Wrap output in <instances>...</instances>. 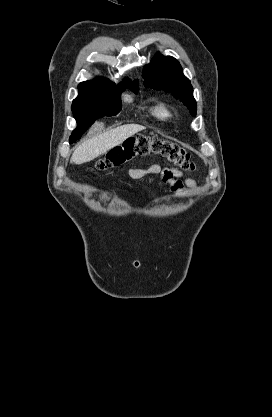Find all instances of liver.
<instances>
[{"label": "liver", "instance_id": "liver-1", "mask_svg": "<svg viewBox=\"0 0 272 417\" xmlns=\"http://www.w3.org/2000/svg\"><path fill=\"white\" fill-rule=\"evenodd\" d=\"M144 129L145 127L142 125L127 124L94 136L76 148L71 157V162L80 165L92 161Z\"/></svg>", "mask_w": 272, "mask_h": 417}]
</instances>
